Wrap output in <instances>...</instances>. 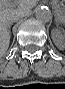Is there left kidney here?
Listing matches in <instances>:
<instances>
[{
    "mask_svg": "<svg viewBox=\"0 0 65 89\" xmlns=\"http://www.w3.org/2000/svg\"><path fill=\"white\" fill-rule=\"evenodd\" d=\"M53 42L59 50L65 49V32L64 30H57L53 36Z\"/></svg>",
    "mask_w": 65,
    "mask_h": 89,
    "instance_id": "obj_1",
    "label": "left kidney"
}]
</instances>
